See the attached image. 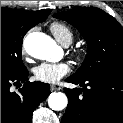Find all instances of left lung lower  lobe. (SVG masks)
<instances>
[{
    "label": "left lung lower lobe",
    "instance_id": "1",
    "mask_svg": "<svg viewBox=\"0 0 123 123\" xmlns=\"http://www.w3.org/2000/svg\"><path fill=\"white\" fill-rule=\"evenodd\" d=\"M67 82L82 88L64 89L68 106L61 123H123V70L113 69Z\"/></svg>",
    "mask_w": 123,
    "mask_h": 123
}]
</instances>
